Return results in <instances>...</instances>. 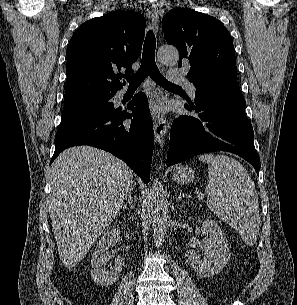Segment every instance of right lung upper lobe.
<instances>
[{
  "instance_id": "1",
  "label": "right lung upper lobe",
  "mask_w": 297,
  "mask_h": 305,
  "mask_svg": "<svg viewBox=\"0 0 297 305\" xmlns=\"http://www.w3.org/2000/svg\"><path fill=\"white\" fill-rule=\"evenodd\" d=\"M145 18L133 11H116L83 23L67 49L64 102L100 93H116L120 68L132 73L145 34Z\"/></svg>"
}]
</instances>
